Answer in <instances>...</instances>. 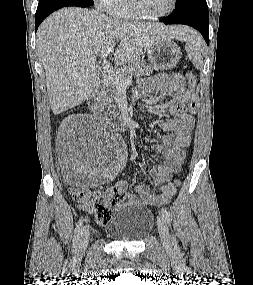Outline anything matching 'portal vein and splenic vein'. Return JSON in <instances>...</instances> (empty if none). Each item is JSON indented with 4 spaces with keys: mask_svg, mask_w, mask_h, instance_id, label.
<instances>
[{
    "mask_svg": "<svg viewBox=\"0 0 253 285\" xmlns=\"http://www.w3.org/2000/svg\"><path fill=\"white\" fill-rule=\"evenodd\" d=\"M115 45L116 44L111 45L110 47L107 48L106 52L101 53L102 56L101 59H103L104 72L106 73L107 78L111 80L114 84L118 86L128 85L132 82V77L131 76H127L125 78L122 77L117 72H115L113 68L110 66V64L106 61V58L112 52Z\"/></svg>",
    "mask_w": 253,
    "mask_h": 285,
    "instance_id": "1",
    "label": "portal vein and splenic vein"
}]
</instances>
